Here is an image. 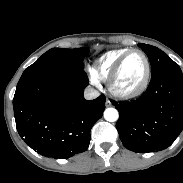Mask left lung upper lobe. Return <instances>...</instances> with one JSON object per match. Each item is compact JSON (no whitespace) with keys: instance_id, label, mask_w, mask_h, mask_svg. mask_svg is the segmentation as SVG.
<instances>
[{"instance_id":"1","label":"left lung upper lobe","mask_w":183,"mask_h":183,"mask_svg":"<svg viewBox=\"0 0 183 183\" xmlns=\"http://www.w3.org/2000/svg\"><path fill=\"white\" fill-rule=\"evenodd\" d=\"M138 46L146 53L149 58L152 68L151 77L179 67L166 53L157 47L142 43L138 44Z\"/></svg>"}]
</instances>
